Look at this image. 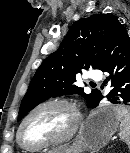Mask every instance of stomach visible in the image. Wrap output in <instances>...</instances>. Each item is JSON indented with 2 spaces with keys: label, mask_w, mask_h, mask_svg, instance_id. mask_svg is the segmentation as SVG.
<instances>
[{
  "label": "stomach",
  "mask_w": 130,
  "mask_h": 153,
  "mask_svg": "<svg viewBox=\"0 0 130 153\" xmlns=\"http://www.w3.org/2000/svg\"><path fill=\"white\" fill-rule=\"evenodd\" d=\"M115 108L108 106L93 111L81 127L76 141L65 153L96 151L104 147L119 127ZM50 153L60 152L55 150Z\"/></svg>",
  "instance_id": "0dacf381"
}]
</instances>
